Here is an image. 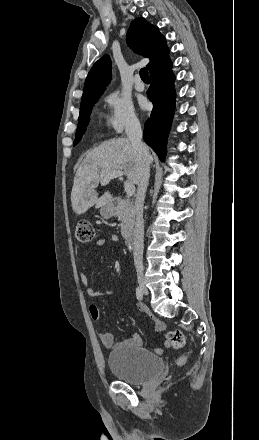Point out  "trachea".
I'll return each mask as SVG.
<instances>
[{"label": "trachea", "instance_id": "obj_1", "mask_svg": "<svg viewBox=\"0 0 259 440\" xmlns=\"http://www.w3.org/2000/svg\"><path fill=\"white\" fill-rule=\"evenodd\" d=\"M140 77L144 82L150 81L149 78V74H148V69L147 68H142L140 70Z\"/></svg>", "mask_w": 259, "mask_h": 440}]
</instances>
